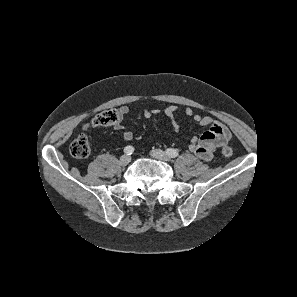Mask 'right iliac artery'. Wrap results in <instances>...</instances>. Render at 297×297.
I'll list each match as a JSON object with an SVG mask.
<instances>
[{
	"label": "right iliac artery",
	"mask_w": 297,
	"mask_h": 297,
	"mask_svg": "<svg viewBox=\"0 0 297 297\" xmlns=\"http://www.w3.org/2000/svg\"><path fill=\"white\" fill-rule=\"evenodd\" d=\"M134 152V148H133V146H126L125 148H124V153L126 154V155H131L132 153Z\"/></svg>",
	"instance_id": "82829eb1"
}]
</instances>
